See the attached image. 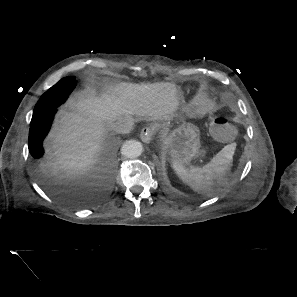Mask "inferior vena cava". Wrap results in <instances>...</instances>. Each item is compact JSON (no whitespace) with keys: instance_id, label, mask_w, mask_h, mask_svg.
Returning a JSON list of instances; mask_svg holds the SVG:
<instances>
[{"instance_id":"obj_1","label":"inferior vena cava","mask_w":297,"mask_h":297,"mask_svg":"<svg viewBox=\"0 0 297 297\" xmlns=\"http://www.w3.org/2000/svg\"><path fill=\"white\" fill-rule=\"evenodd\" d=\"M111 129L119 134H128L132 130L133 121L130 118H122L111 124Z\"/></svg>"}]
</instances>
